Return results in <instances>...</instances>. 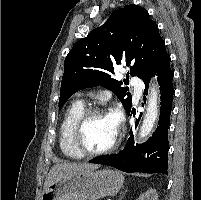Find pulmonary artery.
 <instances>
[{
    "instance_id": "1",
    "label": "pulmonary artery",
    "mask_w": 201,
    "mask_h": 200,
    "mask_svg": "<svg viewBox=\"0 0 201 200\" xmlns=\"http://www.w3.org/2000/svg\"><path fill=\"white\" fill-rule=\"evenodd\" d=\"M132 83L138 89V91L136 92V95H135V97L138 98L140 96V93H141L139 89L143 86V83L138 76H134L132 78Z\"/></svg>"
}]
</instances>
